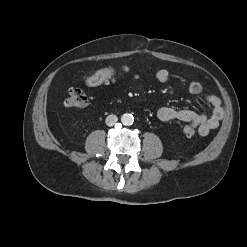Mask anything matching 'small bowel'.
<instances>
[{"instance_id": "c3829d8e", "label": "small bowel", "mask_w": 247, "mask_h": 247, "mask_svg": "<svg viewBox=\"0 0 247 247\" xmlns=\"http://www.w3.org/2000/svg\"><path fill=\"white\" fill-rule=\"evenodd\" d=\"M155 78L160 83H167L170 79L169 72L165 69L159 70L155 74ZM191 94L199 95L202 93V86L196 81L189 84ZM206 102L210 107V115H204L188 108H172L161 107L157 110V117L161 121L178 120L195 124L198 127V132L202 136H206L213 129L217 128L224 116V108L218 96L209 94L206 96Z\"/></svg>"}]
</instances>
